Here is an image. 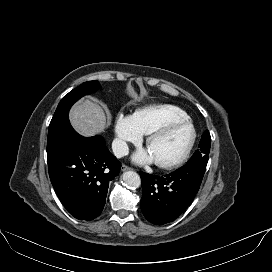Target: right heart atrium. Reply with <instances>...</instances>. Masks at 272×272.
Wrapping results in <instances>:
<instances>
[{
  "label": "right heart atrium",
  "mask_w": 272,
  "mask_h": 272,
  "mask_svg": "<svg viewBox=\"0 0 272 272\" xmlns=\"http://www.w3.org/2000/svg\"><path fill=\"white\" fill-rule=\"evenodd\" d=\"M114 151L118 156L128 151L129 143L137 144L142 139V134L136 128L133 117L123 113L118 114L115 122Z\"/></svg>",
  "instance_id": "right-heart-atrium-1"
}]
</instances>
